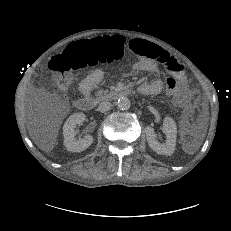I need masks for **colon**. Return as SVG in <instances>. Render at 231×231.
Masks as SVG:
<instances>
[{"label": "colon", "instance_id": "5ec220e1", "mask_svg": "<svg viewBox=\"0 0 231 231\" xmlns=\"http://www.w3.org/2000/svg\"><path fill=\"white\" fill-rule=\"evenodd\" d=\"M126 40L122 36H108L88 42L71 44L61 54L50 61L51 80L57 90L64 92L70 86L72 73L86 65H96L101 62H114L126 55ZM161 59V62L164 61ZM166 90L176 94L178 82L175 77L166 79Z\"/></svg>", "mask_w": 231, "mask_h": 231}]
</instances>
